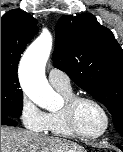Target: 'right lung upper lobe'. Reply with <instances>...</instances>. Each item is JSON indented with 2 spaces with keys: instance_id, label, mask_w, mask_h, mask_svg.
Listing matches in <instances>:
<instances>
[{
  "instance_id": "right-lung-upper-lobe-1",
  "label": "right lung upper lobe",
  "mask_w": 123,
  "mask_h": 152,
  "mask_svg": "<svg viewBox=\"0 0 123 152\" xmlns=\"http://www.w3.org/2000/svg\"><path fill=\"white\" fill-rule=\"evenodd\" d=\"M37 20L21 10H11L1 18V72L17 74L21 54L38 32Z\"/></svg>"
}]
</instances>
